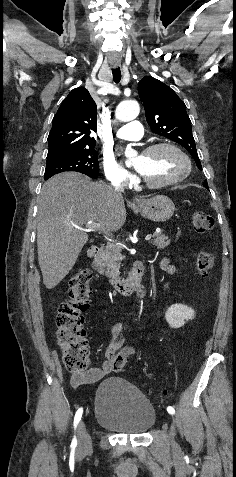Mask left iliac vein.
<instances>
[{
  "label": "left iliac vein",
  "instance_id": "left-iliac-vein-1",
  "mask_svg": "<svg viewBox=\"0 0 236 477\" xmlns=\"http://www.w3.org/2000/svg\"><path fill=\"white\" fill-rule=\"evenodd\" d=\"M168 418H169V420H170L171 425H173V426H176V425H177V422H176L177 419H176L174 413L169 412V413H168ZM170 434H171V437H172V445H173V447H175V446H176V443H175V441L173 440V438H174V436H175V429H174V428L171 429V433H170Z\"/></svg>",
  "mask_w": 236,
  "mask_h": 477
}]
</instances>
